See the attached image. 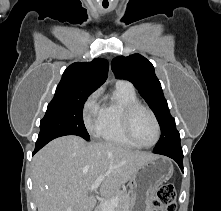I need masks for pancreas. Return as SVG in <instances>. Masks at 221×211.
Returning a JSON list of instances; mask_svg holds the SVG:
<instances>
[{
	"mask_svg": "<svg viewBox=\"0 0 221 211\" xmlns=\"http://www.w3.org/2000/svg\"><path fill=\"white\" fill-rule=\"evenodd\" d=\"M114 197L118 198L117 205L114 207L115 211H130V192L124 190H116L113 194L107 195L105 201L112 200ZM95 211H103V209L101 206H99Z\"/></svg>",
	"mask_w": 221,
	"mask_h": 211,
	"instance_id": "obj_1",
	"label": "pancreas"
}]
</instances>
